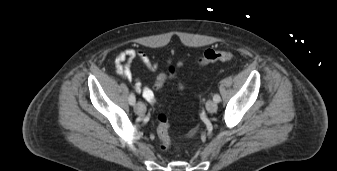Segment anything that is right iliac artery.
I'll return each instance as SVG.
<instances>
[{"label":"right iliac artery","instance_id":"obj_1","mask_svg":"<svg viewBox=\"0 0 337 171\" xmlns=\"http://www.w3.org/2000/svg\"><path fill=\"white\" fill-rule=\"evenodd\" d=\"M135 102H136L135 95H134V93H131L130 96H129V104L134 105Z\"/></svg>","mask_w":337,"mask_h":171}]
</instances>
